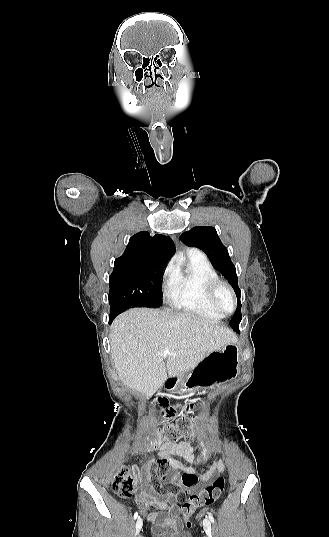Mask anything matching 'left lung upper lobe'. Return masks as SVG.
<instances>
[{"label":"left lung upper lobe","mask_w":329,"mask_h":537,"mask_svg":"<svg viewBox=\"0 0 329 537\" xmlns=\"http://www.w3.org/2000/svg\"><path fill=\"white\" fill-rule=\"evenodd\" d=\"M182 242L190 247H196L206 253L212 266L219 271L233 287L237 296V309L230 321L231 327L239 332L241 314V291L238 287V278L235 265L232 263L227 248L222 244L214 227L196 226L181 235Z\"/></svg>","instance_id":"1"}]
</instances>
